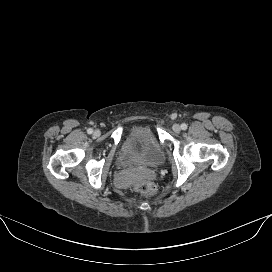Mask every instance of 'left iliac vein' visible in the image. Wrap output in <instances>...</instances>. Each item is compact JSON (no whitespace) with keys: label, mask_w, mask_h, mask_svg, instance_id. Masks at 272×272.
<instances>
[{"label":"left iliac vein","mask_w":272,"mask_h":272,"mask_svg":"<svg viewBox=\"0 0 272 272\" xmlns=\"http://www.w3.org/2000/svg\"><path fill=\"white\" fill-rule=\"evenodd\" d=\"M172 129H173V131L176 132V133H179V132L181 131V127H180L179 124H174V125L172 126Z\"/></svg>","instance_id":"left-iliac-vein-1"}]
</instances>
